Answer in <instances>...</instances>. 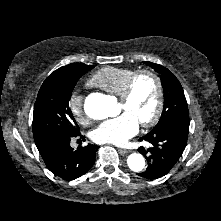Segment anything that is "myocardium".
I'll list each match as a JSON object with an SVG mask.
<instances>
[{"mask_svg": "<svg viewBox=\"0 0 221 221\" xmlns=\"http://www.w3.org/2000/svg\"><path fill=\"white\" fill-rule=\"evenodd\" d=\"M142 76L151 77L156 84V90H157L156 105L152 116L149 119L140 122V124L143 127H150L158 122V120L162 115L164 107L163 83L161 77L156 72L148 69H143L134 72L126 81L124 88L119 95V101L124 103L130 100L135 82Z\"/></svg>", "mask_w": 221, "mask_h": 221, "instance_id": "1", "label": "myocardium"}]
</instances>
